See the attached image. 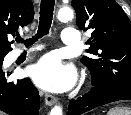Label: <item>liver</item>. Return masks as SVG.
Segmentation results:
<instances>
[{"instance_id":"1","label":"liver","mask_w":131,"mask_h":115,"mask_svg":"<svg viewBox=\"0 0 131 115\" xmlns=\"http://www.w3.org/2000/svg\"><path fill=\"white\" fill-rule=\"evenodd\" d=\"M0 115H3V113H2V112H0Z\"/></svg>"}]
</instances>
